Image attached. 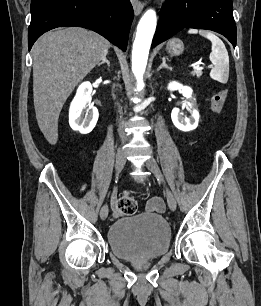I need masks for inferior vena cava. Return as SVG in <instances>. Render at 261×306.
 Segmentation results:
<instances>
[{"label": "inferior vena cava", "instance_id": "obj_1", "mask_svg": "<svg viewBox=\"0 0 261 306\" xmlns=\"http://www.w3.org/2000/svg\"><path fill=\"white\" fill-rule=\"evenodd\" d=\"M120 134H122V130H121V128H120Z\"/></svg>", "mask_w": 261, "mask_h": 306}]
</instances>
